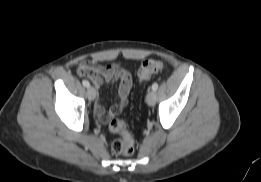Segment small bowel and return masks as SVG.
Here are the masks:
<instances>
[{"mask_svg": "<svg viewBox=\"0 0 261 182\" xmlns=\"http://www.w3.org/2000/svg\"><path fill=\"white\" fill-rule=\"evenodd\" d=\"M81 67L88 68L89 74L83 75L80 72ZM80 68V74L89 79L96 89L101 88L104 82L111 83L120 81L118 89L119 102L117 104L106 111L103 106V100L99 99L94 106L95 115L101 122H107L109 119L120 114L128 104V98L133 84L131 73L117 63L102 65L92 61H85L80 65Z\"/></svg>", "mask_w": 261, "mask_h": 182, "instance_id": "1", "label": "small bowel"}]
</instances>
